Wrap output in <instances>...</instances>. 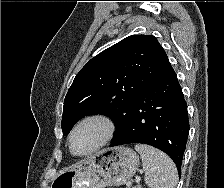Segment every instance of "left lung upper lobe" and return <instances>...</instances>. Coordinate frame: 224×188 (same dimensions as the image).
Masks as SVG:
<instances>
[{"mask_svg": "<svg viewBox=\"0 0 224 188\" xmlns=\"http://www.w3.org/2000/svg\"><path fill=\"white\" fill-rule=\"evenodd\" d=\"M171 68L164 49L152 35H132L104 50L80 70L68 90L63 135L78 120L92 114L112 118L117 134L142 90Z\"/></svg>", "mask_w": 224, "mask_h": 188, "instance_id": "5c2ea615", "label": "left lung upper lobe"}]
</instances>
